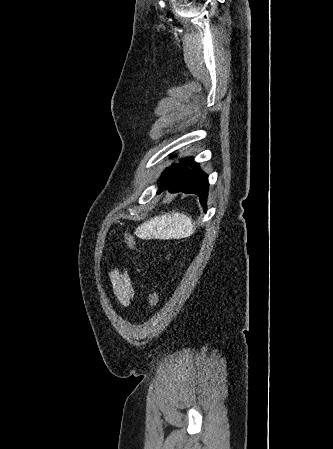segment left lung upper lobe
Returning <instances> with one entry per match:
<instances>
[{
  "label": "left lung upper lobe",
  "mask_w": 333,
  "mask_h": 449,
  "mask_svg": "<svg viewBox=\"0 0 333 449\" xmlns=\"http://www.w3.org/2000/svg\"><path fill=\"white\" fill-rule=\"evenodd\" d=\"M186 159H187V158L181 159V160H180V164L184 163V162L186 161ZM180 164H173L170 168H167V169L164 171V173L162 174V176L160 177V179L163 178V177H165V176H167V175H169L170 173H172L176 168H178V167L180 166ZM160 179H159V180H160Z\"/></svg>",
  "instance_id": "1"
}]
</instances>
